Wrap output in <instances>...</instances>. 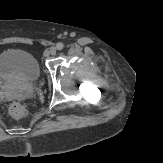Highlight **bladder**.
Wrapping results in <instances>:
<instances>
[{
    "mask_svg": "<svg viewBox=\"0 0 163 163\" xmlns=\"http://www.w3.org/2000/svg\"><path fill=\"white\" fill-rule=\"evenodd\" d=\"M41 74L36 57L23 50L9 49L0 53V79L31 83Z\"/></svg>",
    "mask_w": 163,
    "mask_h": 163,
    "instance_id": "1",
    "label": "bladder"
}]
</instances>
